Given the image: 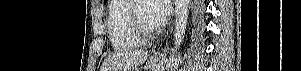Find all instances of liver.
I'll use <instances>...</instances> for the list:
<instances>
[{
  "label": "liver",
  "instance_id": "6515ba94",
  "mask_svg": "<svg viewBox=\"0 0 301 71\" xmlns=\"http://www.w3.org/2000/svg\"><path fill=\"white\" fill-rule=\"evenodd\" d=\"M149 53L146 50H129L109 55L102 64L101 71H122L125 68L143 64Z\"/></svg>",
  "mask_w": 301,
  "mask_h": 71
}]
</instances>
